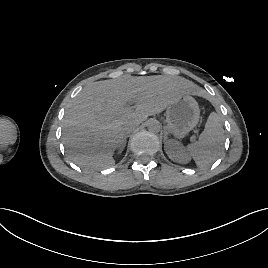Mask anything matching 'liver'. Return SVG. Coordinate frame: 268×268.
Wrapping results in <instances>:
<instances>
[{"instance_id":"obj_1","label":"liver","mask_w":268,"mask_h":268,"mask_svg":"<svg viewBox=\"0 0 268 268\" xmlns=\"http://www.w3.org/2000/svg\"><path fill=\"white\" fill-rule=\"evenodd\" d=\"M193 88L184 78L164 75H124L87 85L68 105L63 119L62 139L71 160L85 169L113 166L125 125L138 126L179 96L195 94ZM131 101L135 110L124 112Z\"/></svg>"}]
</instances>
